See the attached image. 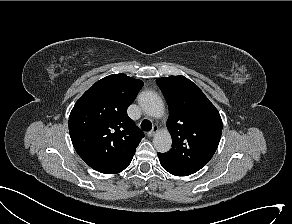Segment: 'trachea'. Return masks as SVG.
<instances>
[{"instance_id":"trachea-1","label":"trachea","mask_w":292,"mask_h":224,"mask_svg":"<svg viewBox=\"0 0 292 224\" xmlns=\"http://www.w3.org/2000/svg\"><path fill=\"white\" fill-rule=\"evenodd\" d=\"M141 128L144 131H150L152 129V123L149 120H144L141 123Z\"/></svg>"}]
</instances>
